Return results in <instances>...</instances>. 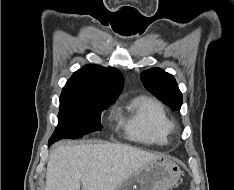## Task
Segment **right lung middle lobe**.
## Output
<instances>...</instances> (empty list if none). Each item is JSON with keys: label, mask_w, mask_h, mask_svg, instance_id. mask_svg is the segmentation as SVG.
Here are the masks:
<instances>
[{"label": "right lung middle lobe", "mask_w": 234, "mask_h": 190, "mask_svg": "<svg viewBox=\"0 0 234 190\" xmlns=\"http://www.w3.org/2000/svg\"><path fill=\"white\" fill-rule=\"evenodd\" d=\"M110 104L60 97L59 123L49 142L54 143L63 138L76 139L101 130V111Z\"/></svg>", "instance_id": "1"}]
</instances>
